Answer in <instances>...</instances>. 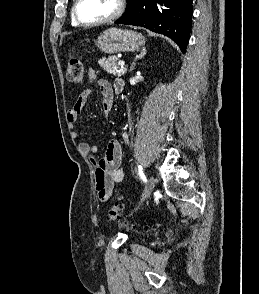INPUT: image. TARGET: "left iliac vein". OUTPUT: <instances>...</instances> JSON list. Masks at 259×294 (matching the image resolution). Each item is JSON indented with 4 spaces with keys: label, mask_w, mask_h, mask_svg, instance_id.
<instances>
[{
    "label": "left iliac vein",
    "mask_w": 259,
    "mask_h": 294,
    "mask_svg": "<svg viewBox=\"0 0 259 294\" xmlns=\"http://www.w3.org/2000/svg\"><path fill=\"white\" fill-rule=\"evenodd\" d=\"M154 186H155V179L153 176H150L149 179H148V183H147V186L143 192V195H142V199H141V202L139 203V205L135 208V210L140 206V204L145 201L151 194V192L153 191L154 189Z\"/></svg>",
    "instance_id": "obj_1"
}]
</instances>
